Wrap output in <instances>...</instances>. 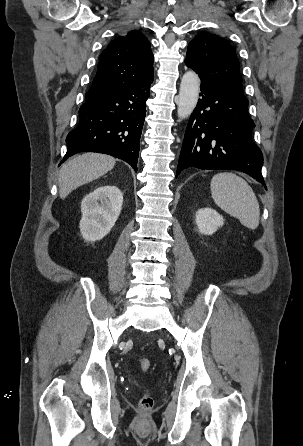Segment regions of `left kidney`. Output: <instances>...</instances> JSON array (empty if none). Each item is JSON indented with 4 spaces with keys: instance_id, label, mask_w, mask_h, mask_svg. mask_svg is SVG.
Here are the masks:
<instances>
[{
    "instance_id": "5707ae66",
    "label": "left kidney",
    "mask_w": 303,
    "mask_h": 446,
    "mask_svg": "<svg viewBox=\"0 0 303 446\" xmlns=\"http://www.w3.org/2000/svg\"><path fill=\"white\" fill-rule=\"evenodd\" d=\"M195 222L201 234L212 235L224 224L223 217L212 208H202L196 212Z\"/></svg>"
}]
</instances>
